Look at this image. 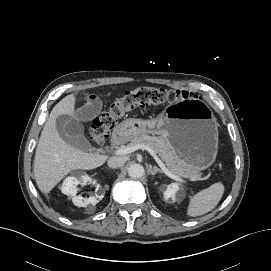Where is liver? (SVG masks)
<instances>
[{
  "label": "liver",
  "instance_id": "1",
  "mask_svg": "<svg viewBox=\"0 0 271 271\" xmlns=\"http://www.w3.org/2000/svg\"><path fill=\"white\" fill-rule=\"evenodd\" d=\"M75 101V96L71 94L57 103L41 132L34 159V177L44 194L49 193L69 172L92 170L108 159L106 155L75 150L54 128V119L60 113L74 116Z\"/></svg>",
  "mask_w": 271,
  "mask_h": 271
}]
</instances>
